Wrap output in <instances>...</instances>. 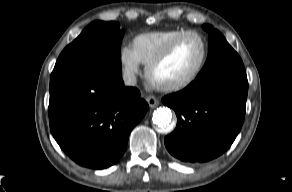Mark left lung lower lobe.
I'll list each match as a JSON object with an SVG mask.
<instances>
[{"instance_id":"left-lung-lower-lobe-1","label":"left lung lower lobe","mask_w":292,"mask_h":192,"mask_svg":"<svg viewBox=\"0 0 292 192\" xmlns=\"http://www.w3.org/2000/svg\"><path fill=\"white\" fill-rule=\"evenodd\" d=\"M246 72H223L195 79L163 103L174 109L176 129L165 137L169 153L183 162H206L223 154L245 116Z\"/></svg>"}]
</instances>
